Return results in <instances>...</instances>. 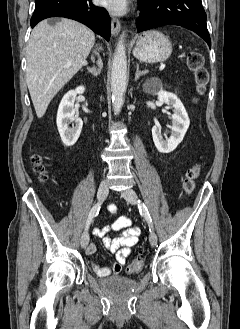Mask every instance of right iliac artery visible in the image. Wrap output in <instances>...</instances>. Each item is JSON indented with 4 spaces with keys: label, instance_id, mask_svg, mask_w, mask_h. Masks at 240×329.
<instances>
[{
    "label": "right iliac artery",
    "instance_id": "obj_1",
    "mask_svg": "<svg viewBox=\"0 0 240 329\" xmlns=\"http://www.w3.org/2000/svg\"><path fill=\"white\" fill-rule=\"evenodd\" d=\"M100 205L101 203H97L96 205H94L92 207V209L90 210L89 214H88V218H87V221H86V225H85V230H87L93 220V218L98 215L99 213V210H100Z\"/></svg>",
    "mask_w": 240,
    "mask_h": 329
}]
</instances>
